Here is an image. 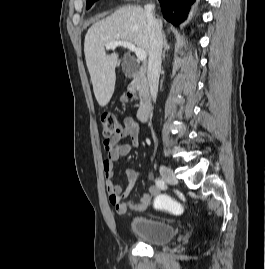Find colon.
Wrapping results in <instances>:
<instances>
[{
	"instance_id": "obj_1",
	"label": "colon",
	"mask_w": 265,
	"mask_h": 269,
	"mask_svg": "<svg viewBox=\"0 0 265 269\" xmlns=\"http://www.w3.org/2000/svg\"><path fill=\"white\" fill-rule=\"evenodd\" d=\"M133 91L128 93V97L133 96ZM102 135L106 140L113 139L122 133V124L117 117L110 112L101 115ZM155 208L171 214H181L183 206L180 202L167 195H159L154 202Z\"/></svg>"
}]
</instances>
